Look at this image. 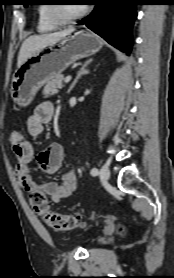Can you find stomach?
Segmentation results:
<instances>
[{"label": "stomach", "mask_w": 174, "mask_h": 278, "mask_svg": "<svg viewBox=\"0 0 174 278\" xmlns=\"http://www.w3.org/2000/svg\"><path fill=\"white\" fill-rule=\"evenodd\" d=\"M102 46L103 42L96 35L81 30L36 50L16 69L11 98L20 106L29 105L44 84L77 60L97 53Z\"/></svg>", "instance_id": "obj_1"}]
</instances>
